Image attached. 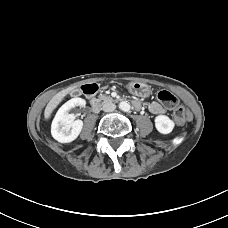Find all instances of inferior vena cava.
Returning <instances> with one entry per match:
<instances>
[{"label": "inferior vena cava", "instance_id": "602c4592", "mask_svg": "<svg viewBox=\"0 0 228 228\" xmlns=\"http://www.w3.org/2000/svg\"><path fill=\"white\" fill-rule=\"evenodd\" d=\"M116 109V105L114 103H111V102H108V103H105L103 104L102 106V110L104 112H112Z\"/></svg>", "mask_w": 228, "mask_h": 228}]
</instances>
